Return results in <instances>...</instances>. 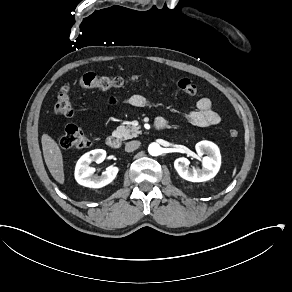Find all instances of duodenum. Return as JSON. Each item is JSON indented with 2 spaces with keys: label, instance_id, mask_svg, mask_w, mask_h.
<instances>
[{
  "label": "duodenum",
  "instance_id": "1",
  "mask_svg": "<svg viewBox=\"0 0 292 292\" xmlns=\"http://www.w3.org/2000/svg\"><path fill=\"white\" fill-rule=\"evenodd\" d=\"M166 121L164 119H157L155 122V129L157 131H163L166 128ZM107 145L112 149L120 147V140L117 136L110 135L106 140Z\"/></svg>",
  "mask_w": 292,
  "mask_h": 292
}]
</instances>
